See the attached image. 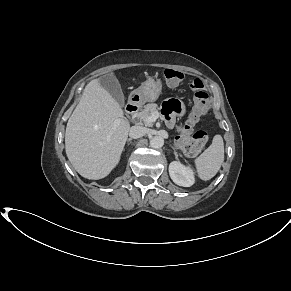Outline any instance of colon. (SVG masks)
<instances>
[{
  "mask_svg": "<svg viewBox=\"0 0 291 291\" xmlns=\"http://www.w3.org/2000/svg\"><path fill=\"white\" fill-rule=\"evenodd\" d=\"M163 76L170 85L179 84L184 75L180 71L173 69H166ZM194 94V107L187 123L179 130V137L177 143L179 147L188 155H195L199 153L205 146L208 134L206 131L193 129L194 124L206 114L209 105V96L204 90V85L201 80L195 79L192 83ZM177 104H180L177 102ZM167 106L165 107L166 110Z\"/></svg>",
  "mask_w": 291,
  "mask_h": 291,
  "instance_id": "colon-1",
  "label": "colon"
}]
</instances>
